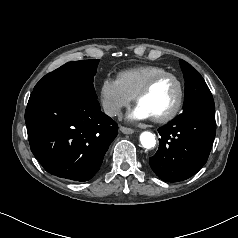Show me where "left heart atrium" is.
<instances>
[{
	"instance_id": "1",
	"label": "left heart atrium",
	"mask_w": 238,
	"mask_h": 238,
	"mask_svg": "<svg viewBox=\"0 0 238 238\" xmlns=\"http://www.w3.org/2000/svg\"><path fill=\"white\" fill-rule=\"evenodd\" d=\"M128 118L131 120H145L151 117L144 109L137 105V107L132 110Z\"/></svg>"
}]
</instances>
